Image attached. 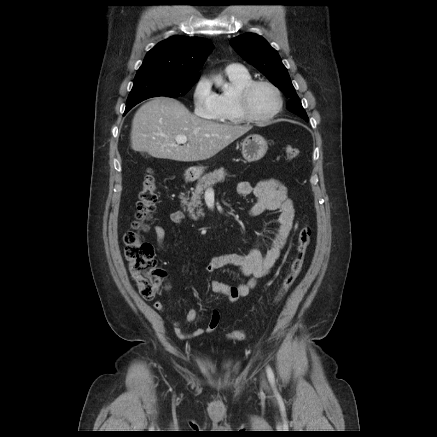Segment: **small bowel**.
<instances>
[{"label": "small bowel", "instance_id": "obj_1", "mask_svg": "<svg viewBox=\"0 0 437 437\" xmlns=\"http://www.w3.org/2000/svg\"><path fill=\"white\" fill-rule=\"evenodd\" d=\"M237 194L241 197H254L255 201L249 209V213L253 216L260 215L265 211L276 212L275 221L277 229L265 253H261L257 246H253L244 254L228 253L215 256L207 264L206 270L209 273L219 271L227 266H233L238 268L241 274L248 278L247 282L235 286L228 285L219 280L212 281V290L224 295L231 303L247 296L257 282L272 270L288 241L295 216V208L288 195L287 188L278 179H264L255 185L249 182H240L237 185ZM185 217V213L181 210L174 211L170 214V220L174 224L182 223ZM153 234L156 237L159 247L164 249V228L159 225L154 226ZM168 288L169 286L166 284V289ZM154 308L161 312L164 310V306L160 301L154 303ZM170 320L174 325L176 335L184 340L200 336L205 332H213L219 325L220 315L217 310H213L208 326L206 328L198 327L192 331H186L184 326L198 320V313L195 309L188 310L183 322L175 320L172 317H170Z\"/></svg>", "mask_w": 437, "mask_h": 437}]
</instances>
